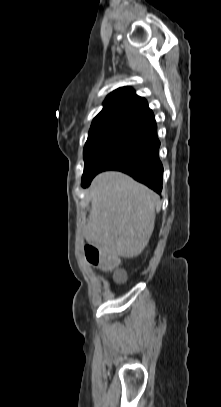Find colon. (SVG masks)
<instances>
[{
    "label": "colon",
    "mask_w": 221,
    "mask_h": 407,
    "mask_svg": "<svg viewBox=\"0 0 221 407\" xmlns=\"http://www.w3.org/2000/svg\"><path fill=\"white\" fill-rule=\"evenodd\" d=\"M86 257L91 264L100 266V269L105 273L110 272L114 266H122L123 264L122 259H118L116 254L111 257L106 254L101 255L96 248L91 246L86 248Z\"/></svg>",
    "instance_id": "1"
}]
</instances>
